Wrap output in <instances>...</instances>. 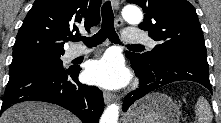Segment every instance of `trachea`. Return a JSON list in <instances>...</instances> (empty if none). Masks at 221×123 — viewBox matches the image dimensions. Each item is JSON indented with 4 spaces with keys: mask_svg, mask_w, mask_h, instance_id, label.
Here are the masks:
<instances>
[{
    "mask_svg": "<svg viewBox=\"0 0 221 123\" xmlns=\"http://www.w3.org/2000/svg\"><path fill=\"white\" fill-rule=\"evenodd\" d=\"M101 14H102V25L98 33H96L92 37H79L76 39V41H83L89 47H95L101 44L102 42H104L107 38L115 44L120 43V39L114 28V14L111 7V3L109 1L103 4ZM128 46H141V45L134 44Z\"/></svg>",
    "mask_w": 221,
    "mask_h": 123,
    "instance_id": "1",
    "label": "trachea"
}]
</instances>
